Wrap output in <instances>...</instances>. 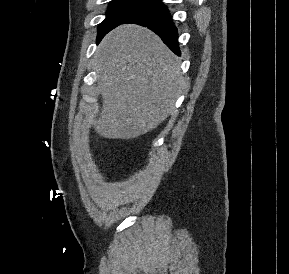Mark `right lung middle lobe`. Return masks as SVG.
<instances>
[{"label": "right lung middle lobe", "mask_w": 289, "mask_h": 274, "mask_svg": "<svg viewBox=\"0 0 289 274\" xmlns=\"http://www.w3.org/2000/svg\"><path fill=\"white\" fill-rule=\"evenodd\" d=\"M158 4L160 0H113L105 20L98 27L97 41L118 25Z\"/></svg>", "instance_id": "dd1d6c3e"}]
</instances>
